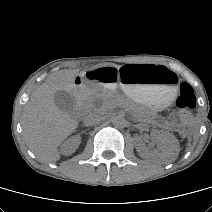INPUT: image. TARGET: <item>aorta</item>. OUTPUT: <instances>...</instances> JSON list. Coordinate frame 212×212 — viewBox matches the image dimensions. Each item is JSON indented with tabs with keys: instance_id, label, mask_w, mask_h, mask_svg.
Listing matches in <instances>:
<instances>
[{
	"instance_id": "762f6f07",
	"label": "aorta",
	"mask_w": 212,
	"mask_h": 212,
	"mask_svg": "<svg viewBox=\"0 0 212 212\" xmlns=\"http://www.w3.org/2000/svg\"><path fill=\"white\" fill-rule=\"evenodd\" d=\"M112 124L116 128H124L127 124V121L124 116L117 115L112 118Z\"/></svg>"
}]
</instances>
